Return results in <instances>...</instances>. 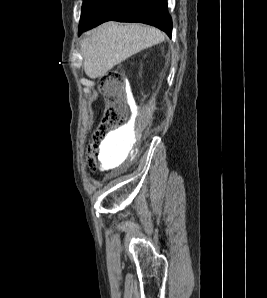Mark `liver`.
I'll return each mask as SVG.
<instances>
[{
	"mask_svg": "<svg viewBox=\"0 0 267 298\" xmlns=\"http://www.w3.org/2000/svg\"><path fill=\"white\" fill-rule=\"evenodd\" d=\"M163 40V33L154 27L106 22L81 41L85 74L91 79L103 77L130 56Z\"/></svg>",
	"mask_w": 267,
	"mask_h": 298,
	"instance_id": "1",
	"label": "liver"
}]
</instances>
